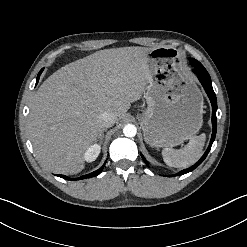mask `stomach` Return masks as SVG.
I'll use <instances>...</instances> for the list:
<instances>
[{"label": "stomach", "instance_id": "0dacf381", "mask_svg": "<svg viewBox=\"0 0 247 247\" xmlns=\"http://www.w3.org/2000/svg\"><path fill=\"white\" fill-rule=\"evenodd\" d=\"M147 109L140 116L145 141L174 147L196 134L203 123V96L185 72L176 49L157 47L147 55Z\"/></svg>", "mask_w": 247, "mask_h": 247}]
</instances>
